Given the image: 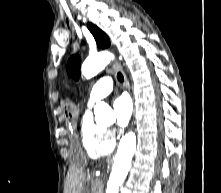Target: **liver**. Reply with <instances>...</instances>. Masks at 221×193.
<instances>
[{
	"label": "liver",
	"instance_id": "liver-1",
	"mask_svg": "<svg viewBox=\"0 0 221 193\" xmlns=\"http://www.w3.org/2000/svg\"><path fill=\"white\" fill-rule=\"evenodd\" d=\"M85 176L86 174L82 169H73V171L70 173L69 193H80Z\"/></svg>",
	"mask_w": 221,
	"mask_h": 193
}]
</instances>
